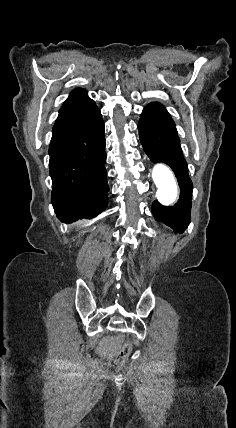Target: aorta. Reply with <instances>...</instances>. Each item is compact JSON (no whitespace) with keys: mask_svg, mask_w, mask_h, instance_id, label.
I'll return each instance as SVG.
<instances>
[{"mask_svg":"<svg viewBox=\"0 0 236 428\" xmlns=\"http://www.w3.org/2000/svg\"><path fill=\"white\" fill-rule=\"evenodd\" d=\"M152 178L157 187V200L164 206L173 204L178 189L171 169L164 164H156L152 170Z\"/></svg>","mask_w":236,"mask_h":428,"instance_id":"obj_1","label":"aorta"}]
</instances>
